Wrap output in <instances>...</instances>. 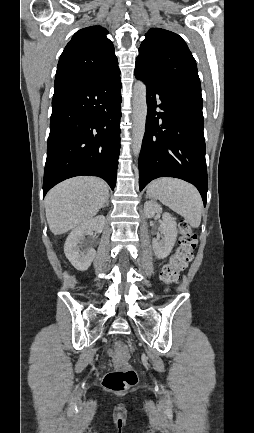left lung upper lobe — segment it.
<instances>
[{"mask_svg":"<svg viewBox=\"0 0 254 433\" xmlns=\"http://www.w3.org/2000/svg\"><path fill=\"white\" fill-rule=\"evenodd\" d=\"M136 66L160 82L201 94L196 61L185 41L171 31L152 28L139 48Z\"/></svg>","mask_w":254,"mask_h":433,"instance_id":"5c2ea615","label":"left lung upper lobe"}]
</instances>
